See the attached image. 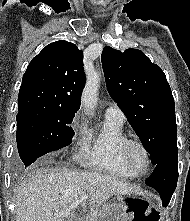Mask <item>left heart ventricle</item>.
I'll return each mask as SVG.
<instances>
[{
  "instance_id": "left-heart-ventricle-1",
  "label": "left heart ventricle",
  "mask_w": 190,
  "mask_h": 221,
  "mask_svg": "<svg viewBox=\"0 0 190 221\" xmlns=\"http://www.w3.org/2000/svg\"><path fill=\"white\" fill-rule=\"evenodd\" d=\"M131 158L133 163L139 168L143 169L146 164V157L144 152L139 147H133L131 151Z\"/></svg>"
}]
</instances>
